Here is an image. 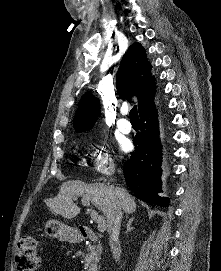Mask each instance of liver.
I'll return each mask as SVG.
<instances>
[{
    "label": "liver",
    "mask_w": 221,
    "mask_h": 271,
    "mask_svg": "<svg viewBox=\"0 0 221 271\" xmlns=\"http://www.w3.org/2000/svg\"><path fill=\"white\" fill-rule=\"evenodd\" d=\"M74 195H82L84 201L91 199L92 203L106 215V227L109 231L114 219L115 209L120 203L125 213L136 211V201L131 197L127 189L115 187V185H105V183H83L79 179L65 181L56 197L45 199L47 205L59 213L62 217L72 219L80 213L81 207L74 203Z\"/></svg>",
    "instance_id": "liver-1"
}]
</instances>
